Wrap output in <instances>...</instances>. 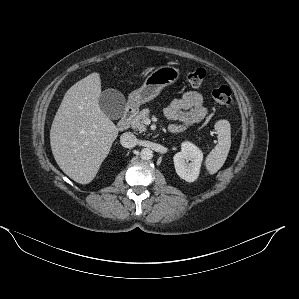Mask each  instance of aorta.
I'll return each instance as SVG.
<instances>
[{
  "mask_svg": "<svg viewBox=\"0 0 299 299\" xmlns=\"http://www.w3.org/2000/svg\"><path fill=\"white\" fill-rule=\"evenodd\" d=\"M153 157V152L149 148H143L140 152V158L142 160H150Z\"/></svg>",
  "mask_w": 299,
  "mask_h": 299,
  "instance_id": "obj_1",
  "label": "aorta"
}]
</instances>
